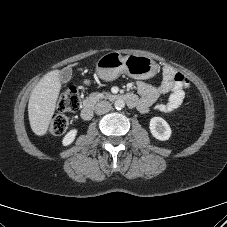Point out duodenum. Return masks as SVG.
<instances>
[{
  "mask_svg": "<svg viewBox=\"0 0 227 227\" xmlns=\"http://www.w3.org/2000/svg\"><path fill=\"white\" fill-rule=\"evenodd\" d=\"M107 98L111 101L122 100L130 107L137 106L138 100L133 94H110ZM94 101L87 100L81 110V117L84 120H90L93 117Z\"/></svg>",
  "mask_w": 227,
  "mask_h": 227,
  "instance_id": "obj_1",
  "label": "duodenum"
}]
</instances>
